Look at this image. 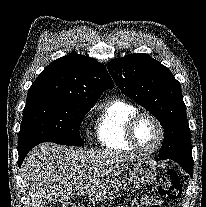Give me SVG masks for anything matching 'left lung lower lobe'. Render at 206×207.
Instances as JSON below:
<instances>
[{"label": "left lung lower lobe", "mask_w": 206, "mask_h": 207, "mask_svg": "<svg viewBox=\"0 0 206 207\" xmlns=\"http://www.w3.org/2000/svg\"><path fill=\"white\" fill-rule=\"evenodd\" d=\"M179 164H180V166H182L186 170L187 173L190 174V176H192L193 167L191 165L185 164V163H179Z\"/></svg>", "instance_id": "1"}]
</instances>
